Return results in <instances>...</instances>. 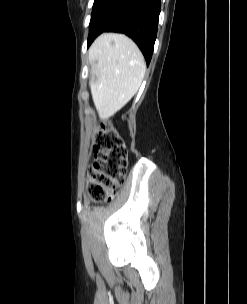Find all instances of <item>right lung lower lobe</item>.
<instances>
[{
  "mask_svg": "<svg viewBox=\"0 0 247 304\" xmlns=\"http://www.w3.org/2000/svg\"><path fill=\"white\" fill-rule=\"evenodd\" d=\"M161 0H96L89 24L88 47L102 32L132 38L150 63L157 35Z\"/></svg>",
  "mask_w": 247,
  "mask_h": 304,
  "instance_id": "98d812e1",
  "label": "right lung lower lobe"
}]
</instances>
